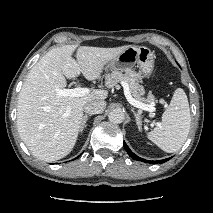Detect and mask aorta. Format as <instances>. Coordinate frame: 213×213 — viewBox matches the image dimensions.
<instances>
[{"label": "aorta", "instance_id": "aorta-1", "mask_svg": "<svg viewBox=\"0 0 213 213\" xmlns=\"http://www.w3.org/2000/svg\"><path fill=\"white\" fill-rule=\"evenodd\" d=\"M108 119L112 123L120 124L124 121L125 114L121 109H114L109 112Z\"/></svg>", "mask_w": 213, "mask_h": 213}]
</instances>
